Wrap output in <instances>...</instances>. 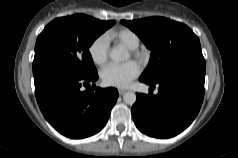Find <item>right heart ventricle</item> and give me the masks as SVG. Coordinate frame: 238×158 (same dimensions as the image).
<instances>
[{
    "mask_svg": "<svg viewBox=\"0 0 238 158\" xmlns=\"http://www.w3.org/2000/svg\"><path fill=\"white\" fill-rule=\"evenodd\" d=\"M108 39L114 40L129 49H136L140 44V38L136 32L128 28L113 31L107 35Z\"/></svg>",
    "mask_w": 238,
    "mask_h": 158,
    "instance_id": "right-heart-ventricle-1",
    "label": "right heart ventricle"
}]
</instances>
